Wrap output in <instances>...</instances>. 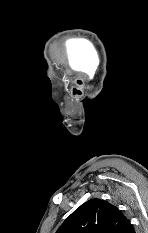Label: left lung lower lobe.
I'll use <instances>...</instances> for the list:
<instances>
[{
	"label": "left lung lower lobe",
	"mask_w": 148,
	"mask_h": 233,
	"mask_svg": "<svg viewBox=\"0 0 148 233\" xmlns=\"http://www.w3.org/2000/svg\"><path fill=\"white\" fill-rule=\"evenodd\" d=\"M130 233H135L134 229Z\"/></svg>",
	"instance_id": "1"
}]
</instances>
